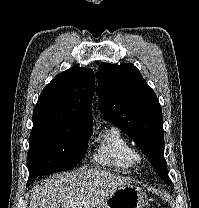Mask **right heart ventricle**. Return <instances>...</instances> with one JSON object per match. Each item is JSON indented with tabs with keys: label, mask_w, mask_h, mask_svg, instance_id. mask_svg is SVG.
<instances>
[{
	"label": "right heart ventricle",
	"mask_w": 199,
	"mask_h": 208,
	"mask_svg": "<svg viewBox=\"0 0 199 208\" xmlns=\"http://www.w3.org/2000/svg\"><path fill=\"white\" fill-rule=\"evenodd\" d=\"M133 150L132 144L121 130L109 127L98 135L92 159L106 168L126 173L135 164Z\"/></svg>",
	"instance_id": "1"
}]
</instances>
